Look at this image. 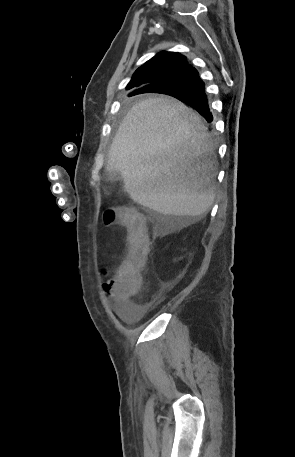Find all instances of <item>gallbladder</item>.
I'll list each match as a JSON object with an SVG mask.
<instances>
[{
    "instance_id": "obj_1",
    "label": "gallbladder",
    "mask_w": 295,
    "mask_h": 457,
    "mask_svg": "<svg viewBox=\"0 0 295 457\" xmlns=\"http://www.w3.org/2000/svg\"><path fill=\"white\" fill-rule=\"evenodd\" d=\"M107 178L110 181H121L122 175L120 172H110L108 173Z\"/></svg>"
}]
</instances>
